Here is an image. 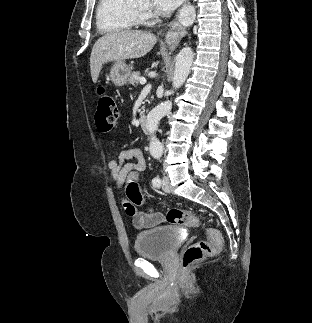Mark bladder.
Wrapping results in <instances>:
<instances>
[{"instance_id":"bladder-1","label":"bladder","mask_w":312,"mask_h":323,"mask_svg":"<svg viewBox=\"0 0 312 323\" xmlns=\"http://www.w3.org/2000/svg\"><path fill=\"white\" fill-rule=\"evenodd\" d=\"M180 239L176 229L159 226L145 233L137 234L135 247L137 254L148 259H167L176 252Z\"/></svg>"}]
</instances>
